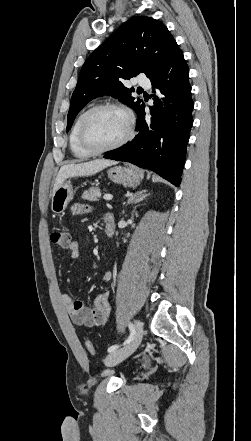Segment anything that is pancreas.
Instances as JSON below:
<instances>
[{
  "instance_id": "1",
  "label": "pancreas",
  "mask_w": 251,
  "mask_h": 441,
  "mask_svg": "<svg viewBox=\"0 0 251 441\" xmlns=\"http://www.w3.org/2000/svg\"><path fill=\"white\" fill-rule=\"evenodd\" d=\"M99 194L100 189L98 187H91L83 192L82 198L89 201H98Z\"/></svg>"
}]
</instances>
